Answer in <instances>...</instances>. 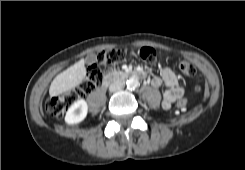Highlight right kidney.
<instances>
[{"label":"right kidney","mask_w":245,"mask_h":170,"mask_svg":"<svg viewBox=\"0 0 245 170\" xmlns=\"http://www.w3.org/2000/svg\"><path fill=\"white\" fill-rule=\"evenodd\" d=\"M88 112V105L85 100L81 99L74 102L67 110L65 122L67 124H77L83 121Z\"/></svg>","instance_id":"1"}]
</instances>
